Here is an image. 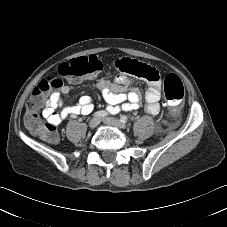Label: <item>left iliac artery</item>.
<instances>
[{"instance_id": "left-iliac-artery-1", "label": "left iliac artery", "mask_w": 227, "mask_h": 227, "mask_svg": "<svg viewBox=\"0 0 227 227\" xmlns=\"http://www.w3.org/2000/svg\"><path fill=\"white\" fill-rule=\"evenodd\" d=\"M120 121L125 124L128 121V117L126 115H122L120 117Z\"/></svg>"}]
</instances>
